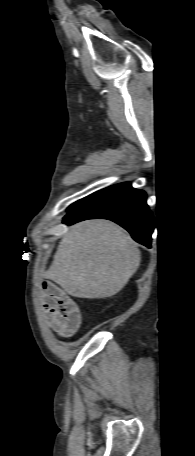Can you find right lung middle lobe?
I'll list each match as a JSON object with an SVG mask.
<instances>
[{
    "label": "right lung middle lobe",
    "mask_w": 195,
    "mask_h": 456,
    "mask_svg": "<svg viewBox=\"0 0 195 456\" xmlns=\"http://www.w3.org/2000/svg\"><path fill=\"white\" fill-rule=\"evenodd\" d=\"M96 193H98V192H96ZM96 193H93V194H91V195H89V196H87V197H85V198H83V199H81V200H79V201L73 203L72 205L69 206L68 210H72L73 208H75V207L81 205L82 203H84L85 201H87L88 199H90L92 196H94Z\"/></svg>",
    "instance_id": "right-lung-middle-lobe-1"
}]
</instances>
